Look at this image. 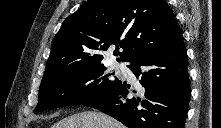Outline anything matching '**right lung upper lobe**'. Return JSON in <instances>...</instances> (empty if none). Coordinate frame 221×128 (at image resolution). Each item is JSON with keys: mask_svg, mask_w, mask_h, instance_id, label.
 Returning a JSON list of instances; mask_svg holds the SVG:
<instances>
[{"mask_svg": "<svg viewBox=\"0 0 221 128\" xmlns=\"http://www.w3.org/2000/svg\"><path fill=\"white\" fill-rule=\"evenodd\" d=\"M182 40L165 0H89L63 22L46 70L79 60L102 61L112 45L113 54L121 56L117 61H131Z\"/></svg>", "mask_w": 221, "mask_h": 128, "instance_id": "1", "label": "right lung upper lobe"}]
</instances>
